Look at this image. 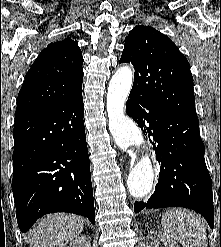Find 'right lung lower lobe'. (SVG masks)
<instances>
[{
	"label": "right lung lower lobe",
	"mask_w": 221,
	"mask_h": 247,
	"mask_svg": "<svg viewBox=\"0 0 221 247\" xmlns=\"http://www.w3.org/2000/svg\"><path fill=\"white\" fill-rule=\"evenodd\" d=\"M82 94L15 116L12 191L21 232L47 213L68 212L95 224Z\"/></svg>",
	"instance_id": "obj_1"
}]
</instances>
